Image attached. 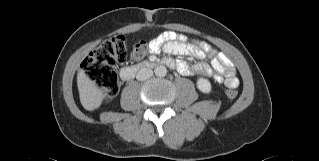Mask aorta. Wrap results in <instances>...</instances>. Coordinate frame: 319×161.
I'll use <instances>...</instances> for the list:
<instances>
[{
  "instance_id": "obj_1",
  "label": "aorta",
  "mask_w": 319,
  "mask_h": 161,
  "mask_svg": "<svg viewBox=\"0 0 319 161\" xmlns=\"http://www.w3.org/2000/svg\"><path fill=\"white\" fill-rule=\"evenodd\" d=\"M154 72L158 77H164L167 74V69L165 66L160 65L155 68Z\"/></svg>"
}]
</instances>
